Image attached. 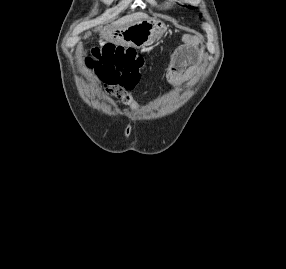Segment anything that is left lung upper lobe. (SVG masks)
Returning <instances> with one entry per match:
<instances>
[{"instance_id": "5c2ea615", "label": "left lung upper lobe", "mask_w": 286, "mask_h": 269, "mask_svg": "<svg viewBox=\"0 0 286 269\" xmlns=\"http://www.w3.org/2000/svg\"><path fill=\"white\" fill-rule=\"evenodd\" d=\"M188 8H193V7H191V6H188Z\"/></svg>"}]
</instances>
